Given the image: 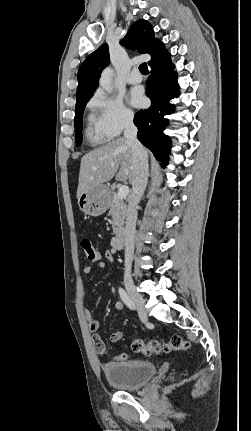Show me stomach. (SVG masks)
<instances>
[{"mask_svg":"<svg viewBox=\"0 0 251 431\" xmlns=\"http://www.w3.org/2000/svg\"><path fill=\"white\" fill-rule=\"evenodd\" d=\"M80 210L88 216H100L110 205L109 189L105 185L90 188L78 199Z\"/></svg>","mask_w":251,"mask_h":431,"instance_id":"stomach-1","label":"stomach"}]
</instances>
